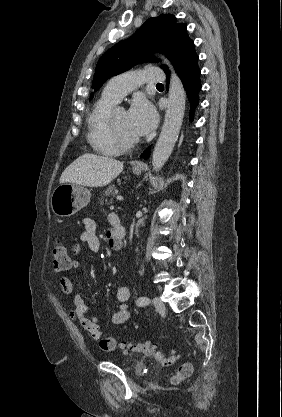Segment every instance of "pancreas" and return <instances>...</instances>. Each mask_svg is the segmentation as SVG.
<instances>
[{
    "label": "pancreas",
    "mask_w": 282,
    "mask_h": 417,
    "mask_svg": "<svg viewBox=\"0 0 282 417\" xmlns=\"http://www.w3.org/2000/svg\"><path fill=\"white\" fill-rule=\"evenodd\" d=\"M116 192H118L116 186H114V184H109V186H106L105 190H102V196H100L101 202H103V198H105V196H109V194H116ZM110 200H112V198H110ZM105 202L107 204V198Z\"/></svg>",
    "instance_id": "pancreas-1"
}]
</instances>
